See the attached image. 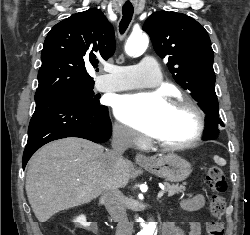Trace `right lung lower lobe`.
<instances>
[{"label": "right lung lower lobe", "mask_w": 250, "mask_h": 235, "mask_svg": "<svg viewBox=\"0 0 250 235\" xmlns=\"http://www.w3.org/2000/svg\"><path fill=\"white\" fill-rule=\"evenodd\" d=\"M111 132L106 106L70 99H39L28 128L23 168L33 153L50 141L81 137L102 143L109 139Z\"/></svg>", "instance_id": "1"}]
</instances>
